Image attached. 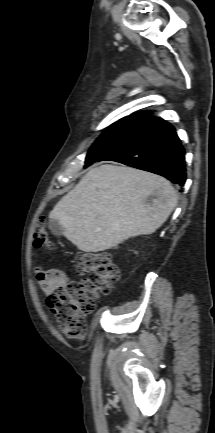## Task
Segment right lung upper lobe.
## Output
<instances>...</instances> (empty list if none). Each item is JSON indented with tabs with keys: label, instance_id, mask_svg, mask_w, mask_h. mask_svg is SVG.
<instances>
[{
	"label": "right lung upper lobe",
	"instance_id": "right-lung-upper-lobe-1",
	"mask_svg": "<svg viewBox=\"0 0 215 433\" xmlns=\"http://www.w3.org/2000/svg\"><path fill=\"white\" fill-rule=\"evenodd\" d=\"M150 112H140V113H135L127 118H139V119H146L149 120L151 119V117H148Z\"/></svg>",
	"mask_w": 215,
	"mask_h": 433
}]
</instances>
